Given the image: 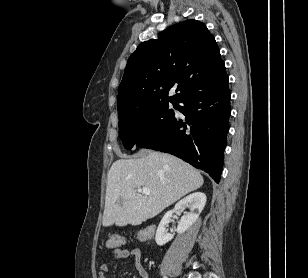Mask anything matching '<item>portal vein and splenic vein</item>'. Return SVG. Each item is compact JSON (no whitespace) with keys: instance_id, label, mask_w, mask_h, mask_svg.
Instances as JSON below:
<instances>
[{"instance_id":"portal-vein-and-splenic-vein-1","label":"portal vein and splenic vein","mask_w":308,"mask_h":278,"mask_svg":"<svg viewBox=\"0 0 308 278\" xmlns=\"http://www.w3.org/2000/svg\"><path fill=\"white\" fill-rule=\"evenodd\" d=\"M137 192L143 193L144 195H150V189L148 187H143L142 189H138Z\"/></svg>"}]
</instances>
